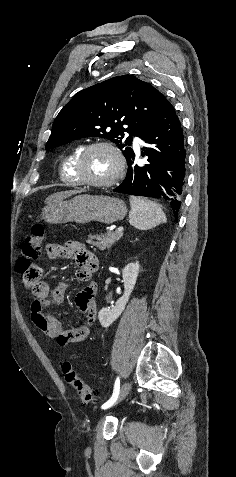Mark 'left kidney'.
Segmentation results:
<instances>
[{"label":"left kidney","mask_w":236,"mask_h":477,"mask_svg":"<svg viewBox=\"0 0 236 477\" xmlns=\"http://www.w3.org/2000/svg\"><path fill=\"white\" fill-rule=\"evenodd\" d=\"M139 262L129 263L122 271L124 282V294L120 297L112 309L102 308L98 313V319L102 327H109L124 311L129 297L134 289L139 273Z\"/></svg>","instance_id":"left-kidney-1"}]
</instances>
